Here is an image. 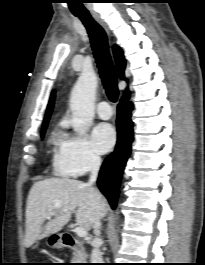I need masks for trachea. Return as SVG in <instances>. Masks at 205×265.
I'll return each mask as SVG.
<instances>
[{
    "mask_svg": "<svg viewBox=\"0 0 205 265\" xmlns=\"http://www.w3.org/2000/svg\"><path fill=\"white\" fill-rule=\"evenodd\" d=\"M75 16L82 21L87 29L106 94L110 101L116 102L119 94L117 76L109 53L106 33L90 14H77Z\"/></svg>",
    "mask_w": 205,
    "mask_h": 265,
    "instance_id": "trachea-1",
    "label": "trachea"
}]
</instances>
